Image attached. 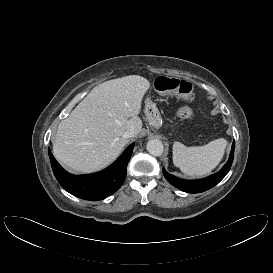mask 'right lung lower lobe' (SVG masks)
Masks as SVG:
<instances>
[{
    "mask_svg": "<svg viewBox=\"0 0 273 273\" xmlns=\"http://www.w3.org/2000/svg\"><path fill=\"white\" fill-rule=\"evenodd\" d=\"M134 144L108 168L89 175H72L66 172L48 149L54 175L60 185L70 194L90 201L102 200L116 192L126 178V169Z\"/></svg>",
    "mask_w": 273,
    "mask_h": 273,
    "instance_id": "right-lung-lower-lobe-1",
    "label": "right lung lower lobe"
}]
</instances>
